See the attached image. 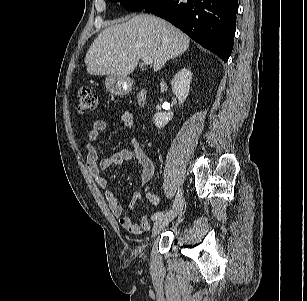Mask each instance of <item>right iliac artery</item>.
Wrapping results in <instances>:
<instances>
[{
  "label": "right iliac artery",
  "mask_w": 307,
  "mask_h": 301,
  "mask_svg": "<svg viewBox=\"0 0 307 301\" xmlns=\"http://www.w3.org/2000/svg\"><path fill=\"white\" fill-rule=\"evenodd\" d=\"M182 199V191L181 189L178 190V193L176 195L175 201L173 203V207H175L178 202ZM163 216V212H156L153 216H152V220L153 221H157L160 217Z\"/></svg>",
  "instance_id": "1"
}]
</instances>
